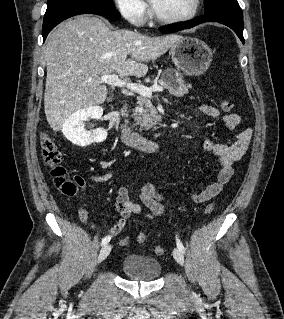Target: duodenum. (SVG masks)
Wrapping results in <instances>:
<instances>
[{"label": "duodenum", "mask_w": 284, "mask_h": 319, "mask_svg": "<svg viewBox=\"0 0 284 319\" xmlns=\"http://www.w3.org/2000/svg\"><path fill=\"white\" fill-rule=\"evenodd\" d=\"M121 139L129 147L155 152L160 149V143L143 137L126 125H121Z\"/></svg>", "instance_id": "410a0bca"}]
</instances>
